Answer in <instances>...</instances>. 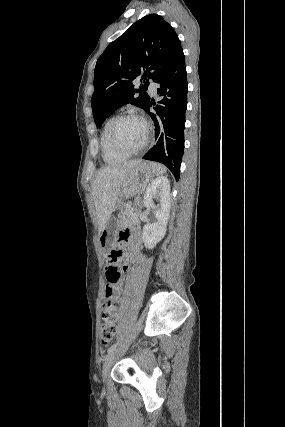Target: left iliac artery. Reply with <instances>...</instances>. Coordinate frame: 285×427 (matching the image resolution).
<instances>
[{
  "label": "left iliac artery",
  "instance_id": "44dca946",
  "mask_svg": "<svg viewBox=\"0 0 285 427\" xmlns=\"http://www.w3.org/2000/svg\"><path fill=\"white\" fill-rule=\"evenodd\" d=\"M117 347V343L113 344L108 350H107V356L113 352Z\"/></svg>",
  "mask_w": 285,
  "mask_h": 427
}]
</instances>
